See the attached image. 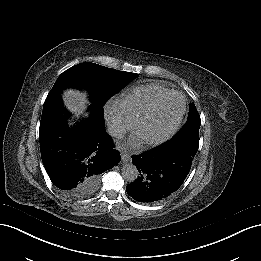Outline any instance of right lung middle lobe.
<instances>
[{
	"label": "right lung middle lobe",
	"instance_id": "obj_1",
	"mask_svg": "<svg viewBox=\"0 0 261 261\" xmlns=\"http://www.w3.org/2000/svg\"><path fill=\"white\" fill-rule=\"evenodd\" d=\"M136 76V73L118 71L85 62L63 72L52 89L61 91L65 87H85L90 91L94 103L103 105L108 98ZM84 189L85 185H82L77 195Z\"/></svg>",
	"mask_w": 261,
	"mask_h": 261
}]
</instances>
